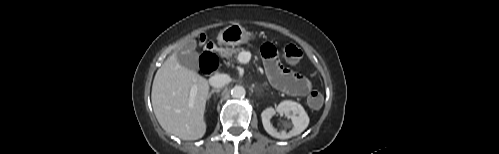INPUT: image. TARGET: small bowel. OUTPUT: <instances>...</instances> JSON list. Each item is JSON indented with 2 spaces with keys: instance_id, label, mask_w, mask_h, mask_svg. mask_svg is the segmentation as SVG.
Instances as JSON below:
<instances>
[{
  "instance_id": "obj_1",
  "label": "small bowel",
  "mask_w": 499,
  "mask_h": 154,
  "mask_svg": "<svg viewBox=\"0 0 499 154\" xmlns=\"http://www.w3.org/2000/svg\"><path fill=\"white\" fill-rule=\"evenodd\" d=\"M267 76L274 87L293 96L303 97L311 89V82L305 76L281 66L276 49L272 44H264L262 49Z\"/></svg>"
}]
</instances>
